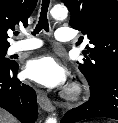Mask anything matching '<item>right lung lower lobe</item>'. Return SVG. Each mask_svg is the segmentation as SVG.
<instances>
[{
  "instance_id": "1",
  "label": "right lung lower lobe",
  "mask_w": 118,
  "mask_h": 123,
  "mask_svg": "<svg viewBox=\"0 0 118 123\" xmlns=\"http://www.w3.org/2000/svg\"><path fill=\"white\" fill-rule=\"evenodd\" d=\"M18 64L0 66V106L22 123H34L38 115L34 89L16 78Z\"/></svg>"
}]
</instances>
